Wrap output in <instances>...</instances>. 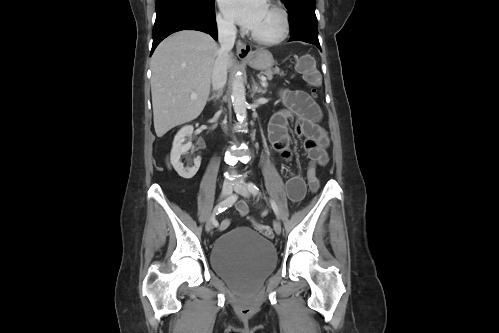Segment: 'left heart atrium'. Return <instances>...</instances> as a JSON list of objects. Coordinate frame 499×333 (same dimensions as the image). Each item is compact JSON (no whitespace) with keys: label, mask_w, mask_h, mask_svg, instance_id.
<instances>
[{"label":"left heart atrium","mask_w":499,"mask_h":333,"mask_svg":"<svg viewBox=\"0 0 499 333\" xmlns=\"http://www.w3.org/2000/svg\"><path fill=\"white\" fill-rule=\"evenodd\" d=\"M222 12L231 21L252 30L266 10V0H219Z\"/></svg>","instance_id":"39dd6f15"}]
</instances>
